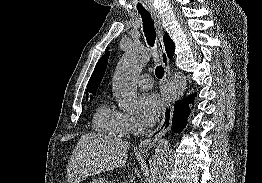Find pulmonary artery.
I'll return each instance as SVG.
<instances>
[{"label": "pulmonary artery", "instance_id": "1", "mask_svg": "<svg viewBox=\"0 0 262 183\" xmlns=\"http://www.w3.org/2000/svg\"><path fill=\"white\" fill-rule=\"evenodd\" d=\"M137 83L143 89H150L153 86V78L148 74H143L138 78Z\"/></svg>", "mask_w": 262, "mask_h": 183}]
</instances>
